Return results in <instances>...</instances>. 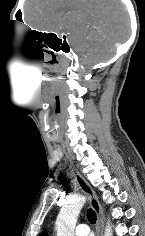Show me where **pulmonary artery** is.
Segmentation results:
<instances>
[{"instance_id":"1","label":"pulmonary artery","mask_w":145,"mask_h":236,"mask_svg":"<svg viewBox=\"0 0 145 236\" xmlns=\"http://www.w3.org/2000/svg\"><path fill=\"white\" fill-rule=\"evenodd\" d=\"M89 227L86 224H79L75 228V235L76 236H88Z\"/></svg>"}]
</instances>
